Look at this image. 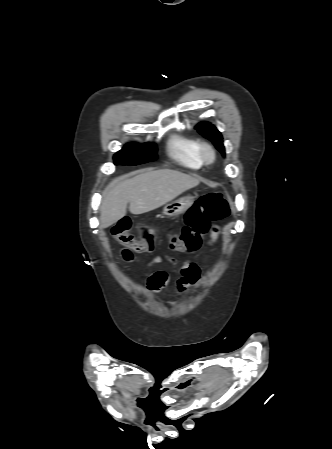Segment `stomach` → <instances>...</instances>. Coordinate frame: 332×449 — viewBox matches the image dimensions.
Instances as JSON below:
<instances>
[{
	"mask_svg": "<svg viewBox=\"0 0 332 449\" xmlns=\"http://www.w3.org/2000/svg\"><path fill=\"white\" fill-rule=\"evenodd\" d=\"M194 203V197L186 196L176 201L167 203L163 208V214L169 217L186 212Z\"/></svg>",
	"mask_w": 332,
	"mask_h": 449,
	"instance_id": "obj_1",
	"label": "stomach"
}]
</instances>
